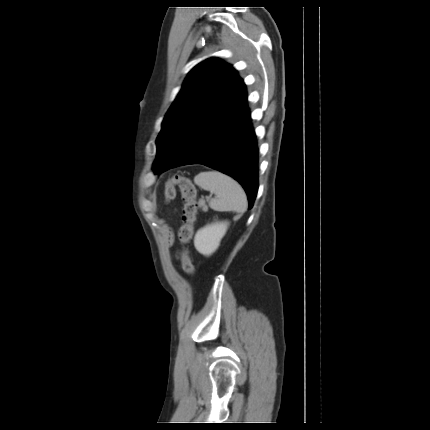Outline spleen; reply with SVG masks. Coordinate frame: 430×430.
Instances as JSON below:
<instances>
[{"label":"spleen","mask_w":430,"mask_h":430,"mask_svg":"<svg viewBox=\"0 0 430 430\" xmlns=\"http://www.w3.org/2000/svg\"><path fill=\"white\" fill-rule=\"evenodd\" d=\"M194 182L204 190L216 195L209 203L212 209L238 213L247 210L245 192L240 184L230 176L217 171H204L195 176Z\"/></svg>","instance_id":"spleen-1"}]
</instances>
